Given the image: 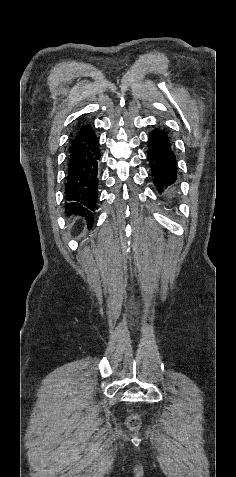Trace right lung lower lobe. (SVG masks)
Masks as SVG:
<instances>
[{
	"mask_svg": "<svg viewBox=\"0 0 236 477\" xmlns=\"http://www.w3.org/2000/svg\"><path fill=\"white\" fill-rule=\"evenodd\" d=\"M99 142L90 124L80 125L72 135L68 173L65 184V207L69 213L93 221L98 190Z\"/></svg>",
	"mask_w": 236,
	"mask_h": 477,
	"instance_id": "1",
	"label": "right lung lower lobe"
}]
</instances>
